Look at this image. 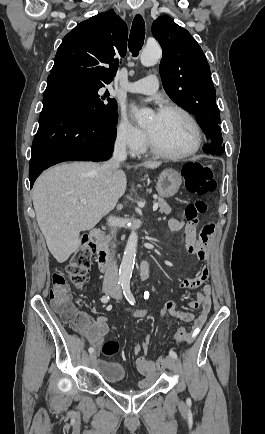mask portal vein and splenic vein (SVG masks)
<instances>
[{
	"instance_id": "obj_1",
	"label": "portal vein and splenic vein",
	"mask_w": 265,
	"mask_h": 434,
	"mask_svg": "<svg viewBox=\"0 0 265 434\" xmlns=\"http://www.w3.org/2000/svg\"><path fill=\"white\" fill-rule=\"evenodd\" d=\"M80 204H87L86 200H80ZM158 208V202H156V204H154L153 206V212H156Z\"/></svg>"
}]
</instances>
